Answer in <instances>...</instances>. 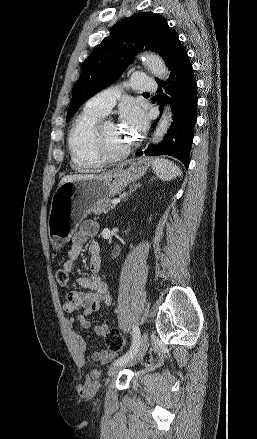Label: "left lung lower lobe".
I'll use <instances>...</instances> for the list:
<instances>
[{
	"label": "left lung lower lobe",
	"mask_w": 257,
	"mask_h": 439,
	"mask_svg": "<svg viewBox=\"0 0 257 439\" xmlns=\"http://www.w3.org/2000/svg\"><path fill=\"white\" fill-rule=\"evenodd\" d=\"M166 65L171 71L168 81L156 79L159 84L157 92L161 97L158 104L164 100L171 104L173 122L163 141L157 145H150L144 154L146 156L171 155L188 167L193 129L197 120L195 111L198 98L192 65L179 38L173 43ZM163 107L162 104L161 113ZM157 121L154 123V128ZM136 155L141 156L143 152L139 150Z\"/></svg>",
	"instance_id": "0a47b994"
}]
</instances>
